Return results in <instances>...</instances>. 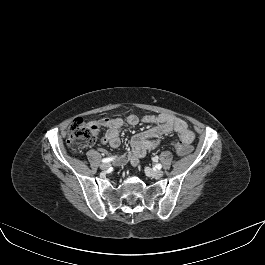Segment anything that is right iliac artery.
<instances>
[{"label": "right iliac artery", "mask_w": 265, "mask_h": 265, "mask_svg": "<svg viewBox=\"0 0 265 265\" xmlns=\"http://www.w3.org/2000/svg\"><path fill=\"white\" fill-rule=\"evenodd\" d=\"M113 159H114L113 157L104 158V159H102V163H108V162L112 161Z\"/></svg>", "instance_id": "1"}]
</instances>
